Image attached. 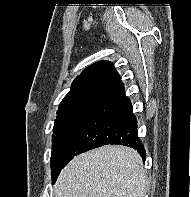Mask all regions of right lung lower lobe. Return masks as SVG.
<instances>
[{
	"label": "right lung lower lobe",
	"mask_w": 191,
	"mask_h": 197,
	"mask_svg": "<svg viewBox=\"0 0 191 197\" xmlns=\"http://www.w3.org/2000/svg\"><path fill=\"white\" fill-rule=\"evenodd\" d=\"M107 144H119L146 153L137 135V120L124 85L99 101L82 124L63 167L74 156Z\"/></svg>",
	"instance_id": "1"
}]
</instances>
